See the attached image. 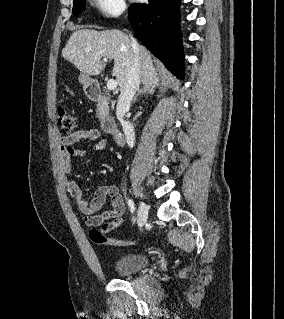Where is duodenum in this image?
I'll return each instance as SVG.
<instances>
[{"label": "duodenum", "instance_id": "1", "mask_svg": "<svg viewBox=\"0 0 284 319\" xmlns=\"http://www.w3.org/2000/svg\"><path fill=\"white\" fill-rule=\"evenodd\" d=\"M88 96L91 100L106 104L108 101V96L102 93L97 87L91 86L88 88ZM101 128L104 132L109 133L113 136L115 142L119 145L123 144L124 137L119 131L114 119L108 115H105L100 120Z\"/></svg>", "mask_w": 284, "mask_h": 319}]
</instances>
